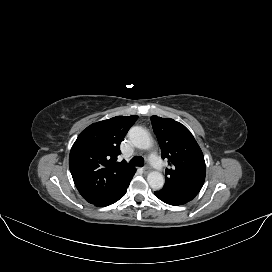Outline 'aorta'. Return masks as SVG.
Returning <instances> with one entry per match:
<instances>
[{
	"instance_id": "1",
	"label": "aorta",
	"mask_w": 272,
	"mask_h": 272,
	"mask_svg": "<svg viewBox=\"0 0 272 272\" xmlns=\"http://www.w3.org/2000/svg\"><path fill=\"white\" fill-rule=\"evenodd\" d=\"M128 135L131 143L139 149H148L152 145L149 133L142 127H132ZM147 182L152 189L159 190L164 186L165 179L162 173L152 171L147 176Z\"/></svg>"
}]
</instances>
